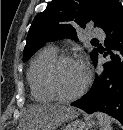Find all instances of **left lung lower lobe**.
I'll return each mask as SVG.
<instances>
[{"label":"left lung lower lobe","instance_id":"left-lung-lower-lobe-1","mask_svg":"<svg viewBox=\"0 0 123 130\" xmlns=\"http://www.w3.org/2000/svg\"><path fill=\"white\" fill-rule=\"evenodd\" d=\"M104 56L110 55L104 70L96 75L94 83L83 99L72 103L87 113L100 111L106 113L123 124V7L114 23L106 31ZM97 64L98 53L92 58Z\"/></svg>","mask_w":123,"mask_h":130}]
</instances>
